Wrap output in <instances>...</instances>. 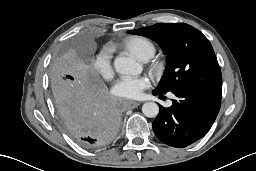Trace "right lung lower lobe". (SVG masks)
Segmentation results:
<instances>
[{
    "label": "right lung lower lobe",
    "instance_id": "98d812e1",
    "mask_svg": "<svg viewBox=\"0 0 256 171\" xmlns=\"http://www.w3.org/2000/svg\"><path fill=\"white\" fill-rule=\"evenodd\" d=\"M56 108L65 128L85 148L111 143L121 125L118 106L103 84L84 87Z\"/></svg>",
    "mask_w": 256,
    "mask_h": 171
}]
</instances>
